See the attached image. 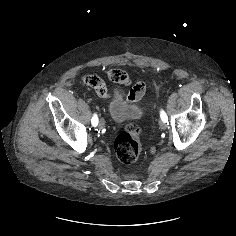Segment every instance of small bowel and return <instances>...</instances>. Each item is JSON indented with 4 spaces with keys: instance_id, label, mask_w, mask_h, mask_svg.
Wrapping results in <instances>:
<instances>
[{
    "instance_id": "1",
    "label": "small bowel",
    "mask_w": 236,
    "mask_h": 236,
    "mask_svg": "<svg viewBox=\"0 0 236 236\" xmlns=\"http://www.w3.org/2000/svg\"><path fill=\"white\" fill-rule=\"evenodd\" d=\"M105 74L110 80H112L114 82H117L119 84H122L124 86H129L131 84V81H130V78H129L128 74L126 72L122 71V70L111 69V70H107L105 72ZM84 82L89 87L95 89V91L101 97H107L108 96V92H107V89H106L103 81L100 78H98L97 76L88 75L84 78ZM143 92H144L143 88L139 89V96L138 97L142 96ZM121 102H122L123 106L127 107V106L131 105L132 101H131L130 97L126 96V97L122 98Z\"/></svg>"
}]
</instances>
